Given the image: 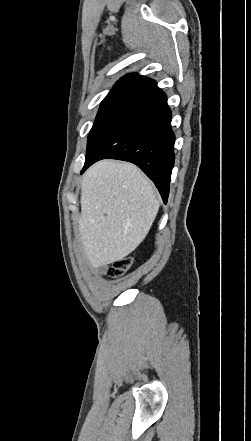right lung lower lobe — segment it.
Segmentation results:
<instances>
[{
    "mask_svg": "<svg viewBox=\"0 0 251 441\" xmlns=\"http://www.w3.org/2000/svg\"><path fill=\"white\" fill-rule=\"evenodd\" d=\"M171 118L165 93L155 87L133 102L103 133L86 158L81 174L101 159L129 161L155 183L167 203L175 160Z\"/></svg>",
    "mask_w": 251,
    "mask_h": 441,
    "instance_id": "obj_1",
    "label": "right lung lower lobe"
}]
</instances>
